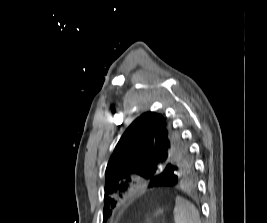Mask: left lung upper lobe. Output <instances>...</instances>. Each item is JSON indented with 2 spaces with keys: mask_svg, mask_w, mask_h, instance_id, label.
<instances>
[{
  "mask_svg": "<svg viewBox=\"0 0 267 223\" xmlns=\"http://www.w3.org/2000/svg\"><path fill=\"white\" fill-rule=\"evenodd\" d=\"M169 170L194 171L189 148L165 115L147 112L126 129L108 162L103 223L117 204L108 194L125 191L133 176L151 182L153 173Z\"/></svg>",
  "mask_w": 267,
  "mask_h": 223,
  "instance_id": "left-lung-upper-lobe-1",
  "label": "left lung upper lobe"
}]
</instances>
